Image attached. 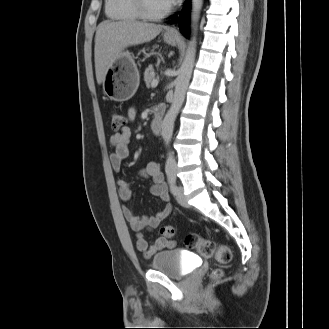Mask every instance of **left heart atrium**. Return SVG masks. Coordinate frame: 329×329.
<instances>
[{
    "mask_svg": "<svg viewBox=\"0 0 329 329\" xmlns=\"http://www.w3.org/2000/svg\"><path fill=\"white\" fill-rule=\"evenodd\" d=\"M168 6H172L178 2V0H165Z\"/></svg>",
    "mask_w": 329,
    "mask_h": 329,
    "instance_id": "obj_1",
    "label": "left heart atrium"
}]
</instances>
